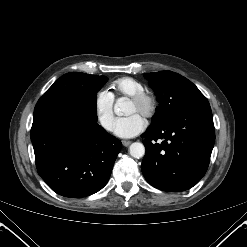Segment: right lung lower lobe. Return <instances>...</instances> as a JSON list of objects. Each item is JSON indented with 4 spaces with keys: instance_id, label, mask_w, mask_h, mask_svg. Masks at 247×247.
Masks as SVG:
<instances>
[{
    "instance_id": "obj_1",
    "label": "right lung lower lobe",
    "mask_w": 247,
    "mask_h": 247,
    "mask_svg": "<svg viewBox=\"0 0 247 247\" xmlns=\"http://www.w3.org/2000/svg\"><path fill=\"white\" fill-rule=\"evenodd\" d=\"M36 167L57 194L76 198L108 182L121 141L97 124L96 98L43 95L31 128Z\"/></svg>"
}]
</instances>
